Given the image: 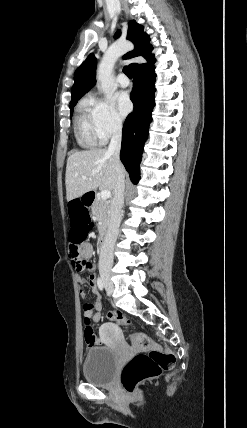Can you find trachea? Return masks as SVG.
I'll return each mask as SVG.
<instances>
[{"mask_svg":"<svg viewBox=\"0 0 247 428\" xmlns=\"http://www.w3.org/2000/svg\"><path fill=\"white\" fill-rule=\"evenodd\" d=\"M123 71H124V73H125L129 78H132V72H131L130 67L125 66V67L123 68Z\"/></svg>","mask_w":247,"mask_h":428,"instance_id":"3493384b","label":"trachea"}]
</instances>
